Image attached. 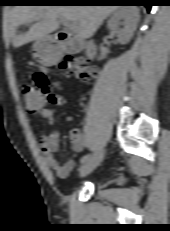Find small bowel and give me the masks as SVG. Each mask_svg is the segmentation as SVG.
<instances>
[{
	"label": "small bowel",
	"instance_id": "1",
	"mask_svg": "<svg viewBox=\"0 0 170 231\" xmlns=\"http://www.w3.org/2000/svg\"><path fill=\"white\" fill-rule=\"evenodd\" d=\"M33 80L36 87L43 93L45 99L52 104L61 106L64 99L56 92L55 86L50 82L48 76L44 72H35ZM40 118L53 125L55 123V112L50 108H43L38 114ZM41 154L44 164L53 169L57 176L64 178L69 175L75 165L74 155L67 158L64 164H60L55 154L60 148V135L58 131H53L48 135L41 134ZM88 146V140L85 134L77 132L72 136V149L74 153H79Z\"/></svg>",
	"mask_w": 170,
	"mask_h": 231
}]
</instances>
